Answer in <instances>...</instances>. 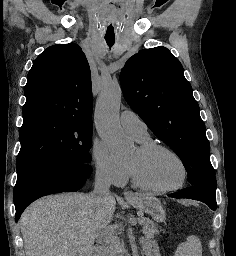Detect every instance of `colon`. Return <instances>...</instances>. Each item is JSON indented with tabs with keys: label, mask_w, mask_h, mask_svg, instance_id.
<instances>
[{
	"label": "colon",
	"mask_w": 236,
	"mask_h": 256,
	"mask_svg": "<svg viewBox=\"0 0 236 256\" xmlns=\"http://www.w3.org/2000/svg\"><path fill=\"white\" fill-rule=\"evenodd\" d=\"M154 255H155V256H160L159 251H155Z\"/></svg>",
	"instance_id": "colon-1"
}]
</instances>
